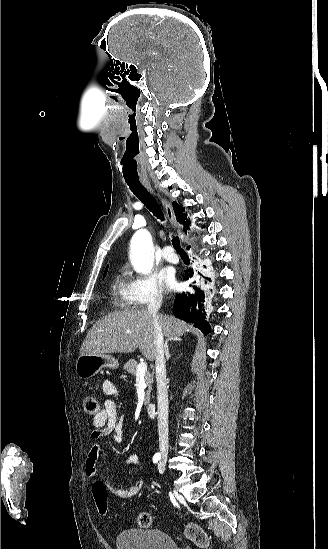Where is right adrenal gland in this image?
I'll list each match as a JSON object with an SVG mask.
<instances>
[{"label": "right adrenal gland", "mask_w": 328, "mask_h": 549, "mask_svg": "<svg viewBox=\"0 0 328 549\" xmlns=\"http://www.w3.org/2000/svg\"><path fill=\"white\" fill-rule=\"evenodd\" d=\"M165 355H166V359H169L170 355H169V351H168L167 345H165Z\"/></svg>", "instance_id": "obj_1"}]
</instances>
